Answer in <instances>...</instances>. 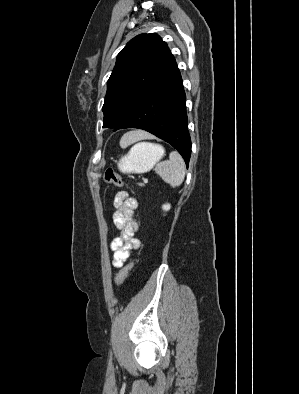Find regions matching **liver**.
<instances>
[{
  "label": "liver",
  "instance_id": "1",
  "mask_svg": "<svg viewBox=\"0 0 299 394\" xmlns=\"http://www.w3.org/2000/svg\"><path fill=\"white\" fill-rule=\"evenodd\" d=\"M126 135H127V139H128V145L134 141L139 140V139L149 137V134L144 131H134V132H130Z\"/></svg>",
  "mask_w": 299,
  "mask_h": 394
}]
</instances>
